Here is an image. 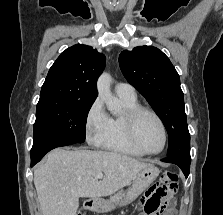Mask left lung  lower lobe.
I'll use <instances>...</instances> for the list:
<instances>
[{
  "instance_id": "0a47b994",
  "label": "left lung lower lobe",
  "mask_w": 223,
  "mask_h": 215,
  "mask_svg": "<svg viewBox=\"0 0 223 215\" xmlns=\"http://www.w3.org/2000/svg\"><path fill=\"white\" fill-rule=\"evenodd\" d=\"M162 161L178 165L182 169V172L184 173L185 177H188L189 172H190L191 159H180V158L166 157V158L162 159Z\"/></svg>"
}]
</instances>
